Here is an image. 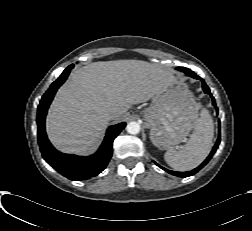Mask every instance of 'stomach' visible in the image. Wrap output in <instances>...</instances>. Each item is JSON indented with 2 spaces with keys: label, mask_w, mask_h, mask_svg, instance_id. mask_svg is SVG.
I'll return each mask as SVG.
<instances>
[{
  "label": "stomach",
  "mask_w": 252,
  "mask_h": 231,
  "mask_svg": "<svg viewBox=\"0 0 252 231\" xmlns=\"http://www.w3.org/2000/svg\"><path fill=\"white\" fill-rule=\"evenodd\" d=\"M198 110L187 85L175 80L143 111L152 143L164 148L177 146L195 127Z\"/></svg>",
  "instance_id": "0dacf381"
}]
</instances>
